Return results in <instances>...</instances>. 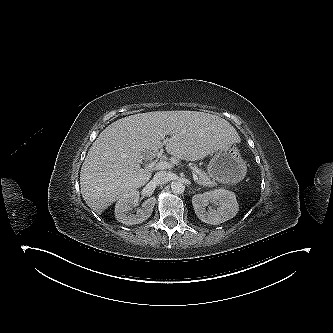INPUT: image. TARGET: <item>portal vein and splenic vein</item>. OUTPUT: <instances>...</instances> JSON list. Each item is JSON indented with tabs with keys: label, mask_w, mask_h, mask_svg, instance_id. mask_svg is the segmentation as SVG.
<instances>
[{
	"label": "portal vein and splenic vein",
	"mask_w": 333,
	"mask_h": 333,
	"mask_svg": "<svg viewBox=\"0 0 333 333\" xmlns=\"http://www.w3.org/2000/svg\"><path fill=\"white\" fill-rule=\"evenodd\" d=\"M152 165L155 166V168H157V169H167V168L171 167V164L166 161H160V162L154 163ZM193 179L196 183L199 184L198 176L195 174V172L193 173Z\"/></svg>",
	"instance_id": "obj_1"
}]
</instances>
